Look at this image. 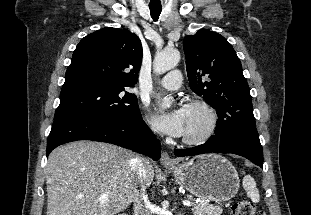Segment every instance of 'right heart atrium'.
Returning a JSON list of instances; mask_svg holds the SVG:
<instances>
[{
	"label": "right heart atrium",
	"instance_id": "1",
	"mask_svg": "<svg viewBox=\"0 0 311 215\" xmlns=\"http://www.w3.org/2000/svg\"><path fill=\"white\" fill-rule=\"evenodd\" d=\"M147 126H148V129L150 130V132H152V133H157L158 132L157 127L155 126V124L152 121L148 120L147 121Z\"/></svg>",
	"mask_w": 311,
	"mask_h": 215
}]
</instances>
